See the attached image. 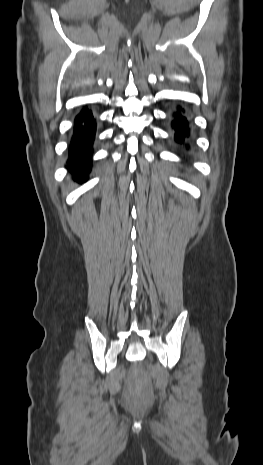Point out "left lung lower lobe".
<instances>
[{"label": "left lung lower lobe", "mask_w": 263, "mask_h": 465, "mask_svg": "<svg viewBox=\"0 0 263 465\" xmlns=\"http://www.w3.org/2000/svg\"><path fill=\"white\" fill-rule=\"evenodd\" d=\"M178 110H180V108H178ZM174 117L175 120L172 122V126L176 130V141L178 143H183L185 138L189 136L188 121L180 112L175 113Z\"/></svg>", "instance_id": "obj_1"}]
</instances>
